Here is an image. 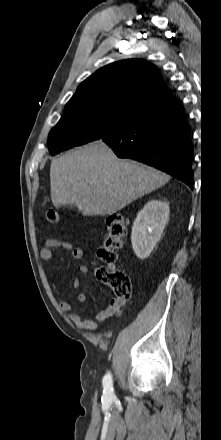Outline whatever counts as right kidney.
Instances as JSON below:
<instances>
[{"label":"right kidney","mask_w":221,"mask_h":440,"mask_svg":"<svg viewBox=\"0 0 221 440\" xmlns=\"http://www.w3.org/2000/svg\"><path fill=\"white\" fill-rule=\"evenodd\" d=\"M169 205L166 202L151 200L137 214L133 223L131 241L136 256L147 258L168 222Z\"/></svg>","instance_id":"ca27d5eb"}]
</instances>
